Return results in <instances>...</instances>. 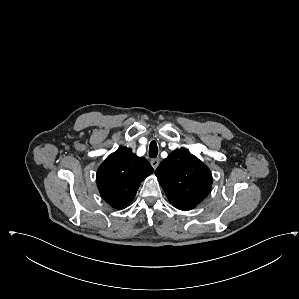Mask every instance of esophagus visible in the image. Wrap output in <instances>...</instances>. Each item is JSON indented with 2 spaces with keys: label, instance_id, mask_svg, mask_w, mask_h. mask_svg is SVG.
<instances>
[{
  "label": "esophagus",
  "instance_id": "obj_1",
  "mask_svg": "<svg viewBox=\"0 0 299 299\" xmlns=\"http://www.w3.org/2000/svg\"><path fill=\"white\" fill-rule=\"evenodd\" d=\"M150 163H151L152 167H153L154 169H156V168L159 166L160 159H158V158L152 159V160L150 161Z\"/></svg>",
  "mask_w": 299,
  "mask_h": 299
}]
</instances>
